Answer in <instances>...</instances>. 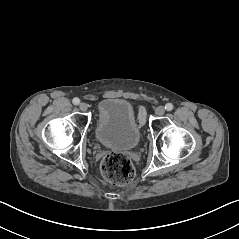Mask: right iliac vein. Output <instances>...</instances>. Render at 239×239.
<instances>
[{"instance_id": "63e3f726", "label": "right iliac vein", "mask_w": 239, "mask_h": 239, "mask_svg": "<svg viewBox=\"0 0 239 239\" xmlns=\"http://www.w3.org/2000/svg\"><path fill=\"white\" fill-rule=\"evenodd\" d=\"M79 108L81 111L85 112L88 109V105L86 103L82 102L79 104Z\"/></svg>"}]
</instances>
